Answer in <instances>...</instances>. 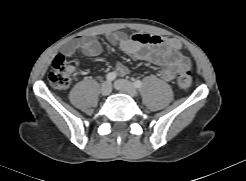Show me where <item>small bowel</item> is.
Here are the masks:
<instances>
[{
  "label": "small bowel",
  "instance_id": "1",
  "mask_svg": "<svg viewBox=\"0 0 246 181\" xmlns=\"http://www.w3.org/2000/svg\"><path fill=\"white\" fill-rule=\"evenodd\" d=\"M143 34H135L130 37L122 33H112L107 36L109 43L119 46L121 51L138 60H143L162 67L160 77L165 81H172L179 70L189 68V59L181 53V42L176 38H158L157 43H146L141 40ZM79 51L86 57H95L102 52L100 42L91 36L76 39L73 44L65 49V56L70 58L75 51ZM115 73L125 75L128 68L118 62Z\"/></svg>",
  "mask_w": 246,
  "mask_h": 181
}]
</instances>
